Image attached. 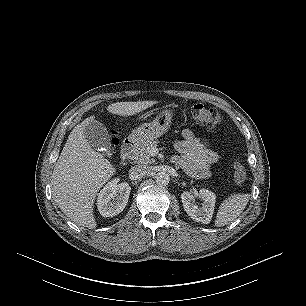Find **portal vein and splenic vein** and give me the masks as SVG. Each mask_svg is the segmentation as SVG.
Listing matches in <instances>:
<instances>
[{
    "instance_id": "obj_1",
    "label": "portal vein and splenic vein",
    "mask_w": 306,
    "mask_h": 306,
    "mask_svg": "<svg viewBox=\"0 0 306 306\" xmlns=\"http://www.w3.org/2000/svg\"><path fill=\"white\" fill-rule=\"evenodd\" d=\"M155 153H157V149H156V148H153V149H152V154H155Z\"/></svg>"
}]
</instances>
